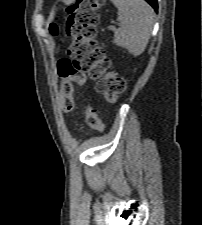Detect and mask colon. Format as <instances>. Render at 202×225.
Listing matches in <instances>:
<instances>
[{
  "label": "colon",
  "mask_w": 202,
  "mask_h": 225,
  "mask_svg": "<svg viewBox=\"0 0 202 225\" xmlns=\"http://www.w3.org/2000/svg\"><path fill=\"white\" fill-rule=\"evenodd\" d=\"M102 0H76L68 11L66 37L71 39L70 58L58 65L61 86V107L65 112L73 109V83L84 86L87 74L98 79L97 89L110 103H115L124 92L125 82L112 67L105 49L95 41L98 11ZM53 34L57 26L52 27ZM89 127L101 130L103 124L97 111L90 105L82 110Z\"/></svg>",
  "instance_id": "obj_1"
}]
</instances>
